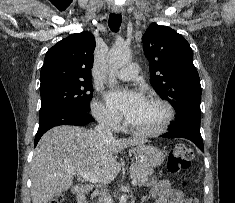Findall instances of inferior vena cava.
Listing matches in <instances>:
<instances>
[{"instance_id":"602c4592","label":"inferior vena cava","mask_w":235,"mask_h":203,"mask_svg":"<svg viewBox=\"0 0 235 203\" xmlns=\"http://www.w3.org/2000/svg\"><path fill=\"white\" fill-rule=\"evenodd\" d=\"M112 120L109 116H103L99 119V124L95 128V132L106 140L113 138L112 135ZM98 203H109V197L107 196V191H103L100 194Z\"/></svg>"}]
</instances>
